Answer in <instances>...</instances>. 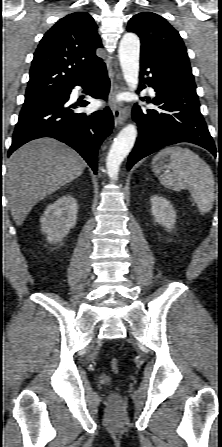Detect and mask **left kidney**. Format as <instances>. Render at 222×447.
<instances>
[{"label":"left kidney","instance_id":"left-kidney-1","mask_svg":"<svg viewBox=\"0 0 222 447\" xmlns=\"http://www.w3.org/2000/svg\"><path fill=\"white\" fill-rule=\"evenodd\" d=\"M151 213L155 221L166 227L168 231L174 228L176 222V211L169 200L162 196L151 197Z\"/></svg>","mask_w":222,"mask_h":447}]
</instances>
